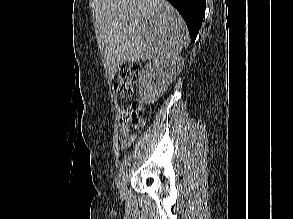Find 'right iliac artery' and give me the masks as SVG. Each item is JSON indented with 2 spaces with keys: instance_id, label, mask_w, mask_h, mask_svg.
Masks as SVG:
<instances>
[{
  "instance_id": "obj_1",
  "label": "right iliac artery",
  "mask_w": 293,
  "mask_h": 219,
  "mask_svg": "<svg viewBox=\"0 0 293 219\" xmlns=\"http://www.w3.org/2000/svg\"><path fill=\"white\" fill-rule=\"evenodd\" d=\"M129 165V160H125V162L122 164L119 173L117 175V180H119L121 178V176L124 174L125 170L127 169Z\"/></svg>"
}]
</instances>
